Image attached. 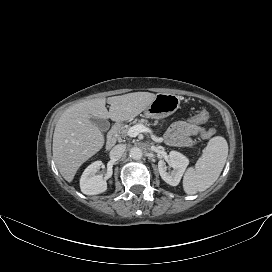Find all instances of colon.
<instances>
[{"label":"colon","mask_w":272,"mask_h":272,"mask_svg":"<svg viewBox=\"0 0 272 272\" xmlns=\"http://www.w3.org/2000/svg\"><path fill=\"white\" fill-rule=\"evenodd\" d=\"M209 118V115L206 111H200L198 112L196 115H194L192 118H191V121L193 123H196V124H201V123H204L208 120ZM214 134V130L213 129H206L202 132V137L204 139H208L210 138L211 136H213Z\"/></svg>","instance_id":"1"}]
</instances>
